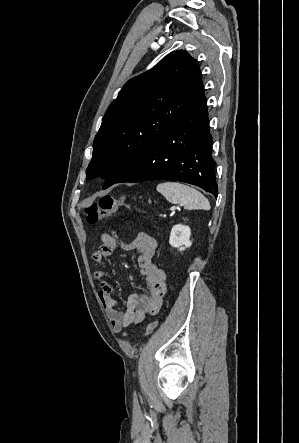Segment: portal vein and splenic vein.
I'll list each match as a JSON object with an SVG mask.
<instances>
[{
    "instance_id": "1",
    "label": "portal vein and splenic vein",
    "mask_w": 299,
    "mask_h": 443,
    "mask_svg": "<svg viewBox=\"0 0 299 443\" xmlns=\"http://www.w3.org/2000/svg\"><path fill=\"white\" fill-rule=\"evenodd\" d=\"M174 209H175L174 207H171V208H170V210H174Z\"/></svg>"
}]
</instances>
